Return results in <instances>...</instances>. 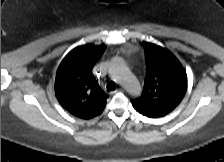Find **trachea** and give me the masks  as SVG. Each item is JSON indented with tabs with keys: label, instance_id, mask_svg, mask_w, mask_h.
<instances>
[{
	"label": "trachea",
	"instance_id": "trachea-1",
	"mask_svg": "<svg viewBox=\"0 0 224 162\" xmlns=\"http://www.w3.org/2000/svg\"><path fill=\"white\" fill-rule=\"evenodd\" d=\"M116 89V84L113 81L108 82L107 84V91H114Z\"/></svg>",
	"mask_w": 224,
	"mask_h": 162
}]
</instances>
